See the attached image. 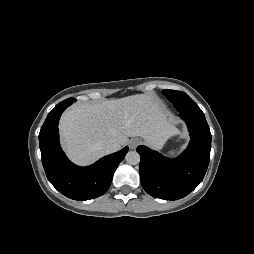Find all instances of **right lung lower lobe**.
Segmentation results:
<instances>
[{"label": "right lung lower lobe", "instance_id": "1", "mask_svg": "<svg viewBox=\"0 0 254 254\" xmlns=\"http://www.w3.org/2000/svg\"><path fill=\"white\" fill-rule=\"evenodd\" d=\"M75 101L74 98H68L48 114L39 133V144L42 164L50 183L66 197L84 201L97 198L108 190L128 147L105 156L88 167L71 163L59 144L58 122L63 111Z\"/></svg>", "mask_w": 254, "mask_h": 254}]
</instances>
